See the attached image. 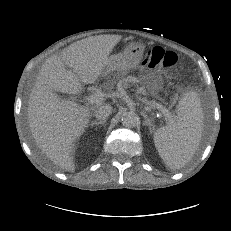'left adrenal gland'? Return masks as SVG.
<instances>
[{"label": "left adrenal gland", "instance_id": "obj_1", "mask_svg": "<svg viewBox=\"0 0 231 231\" xmlns=\"http://www.w3.org/2000/svg\"><path fill=\"white\" fill-rule=\"evenodd\" d=\"M141 115L144 117L145 121H144V125L148 126L149 127V131L150 133H152V130H153V123H152V120H150L146 114V112L142 111L141 112Z\"/></svg>", "mask_w": 231, "mask_h": 231}]
</instances>
